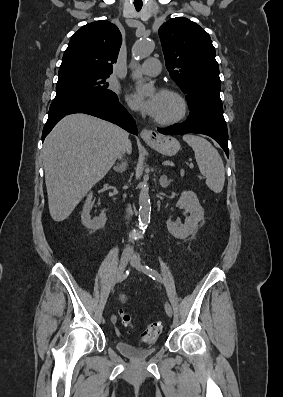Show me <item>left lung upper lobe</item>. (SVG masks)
<instances>
[{"label": "left lung upper lobe", "mask_w": 283, "mask_h": 397, "mask_svg": "<svg viewBox=\"0 0 283 397\" xmlns=\"http://www.w3.org/2000/svg\"><path fill=\"white\" fill-rule=\"evenodd\" d=\"M166 68L186 94L189 109L223 112L221 81L211 38L198 24L176 17L159 29Z\"/></svg>", "instance_id": "left-lung-upper-lobe-1"}]
</instances>
